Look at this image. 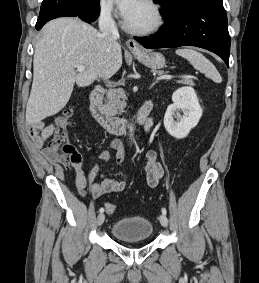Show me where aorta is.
Segmentation results:
<instances>
[{
  "instance_id": "aorta-1",
  "label": "aorta",
  "mask_w": 259,
  "mask_h": 283,
  "mask_svg": "<svg viewBox=\"0 0 259 283\" xmlns=\"http://www.w3.org/2000/svg\"><path fill=\"white\" fill-rule=\"evenodd\" d=\"M132 132H133V127L130 126V136H132Z\"/></svg>"
}]
</instances>
